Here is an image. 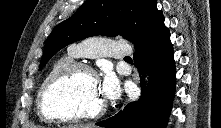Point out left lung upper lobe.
Masks as SVG:
<instances>
[{
    "label": "left lung upper lobe",
    "mask_w": 221,
    "mask_h": 128,
    "mask_svg": "<svg viewBox=\"0 0 221 128\" xmlns=\"http://www.w3.org/2000/svg\"><path fill=\"white\" fill-rule=\"evenodd\" d=\"M156 0H87L77 12L58 24L46 40L40 67L63 47L81 39L117 36L143 43L155 24L163 18Z\"/></svg>",
    "instance_id": "obj_1"
}]
</instances>
